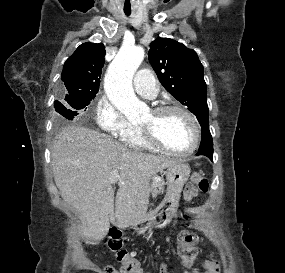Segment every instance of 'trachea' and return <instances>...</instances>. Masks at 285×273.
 <instances>
[{
  "label": "trachea",
  "instance_id": "obj_1",
  "mask_svg": "<svg viewBox=\"0 0 285 273\" xmlns=\"http://www.w3.org/2000/svg\"><path fill=\"white\" fill-rule=\"evenodd\" d=\"M131 14V12H125V15L129 16Z\"/></svg>",
  "mask_w": 285,
  "mask_h": 273
}]
</instances>
